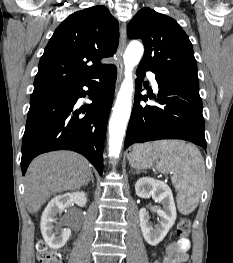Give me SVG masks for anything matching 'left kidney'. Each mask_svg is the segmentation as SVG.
<instances>
[{
  "label": "left kidney",
  "instance_id": "obj_1",
  "mask_svg": "<svg viewBox=\"0 0 233 263\" xmlns=\"http://www.w3.org/2000/svg\"><path fill=\"white\" fill-rule=\"evenodd\" d=\"M135 191L140 198L152 197L156 202L163 205L162 208L157 209L160 219L159 224L154 227L149 221L150 217L147 210L141 208L139 211L143 237L148 244L156 246L164 239L176 220L177 213L172 191L166 183L150 177L138 179L135 184Z\"/></svg>",
  "mask_w": 233,
  "mask_h": 263
}]
</instances>
